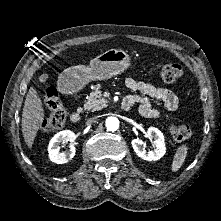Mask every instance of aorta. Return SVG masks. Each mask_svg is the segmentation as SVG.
Segmentation results:
<instances>
[{
	"mask_svg": "<svg viewBox=\"0 0 221 221\" xmlns=\"http://www.w3.org/2000/svg\"><path fill=\"white\" fill-rule=\"evenodd\" d=\"M105 125L108 131H116L119 128V120L117 117H108Z\"/></svg>",
	"mask_w": 221,
	"mask_h": 221,
	"instance_id": "762f6f07",
	"label": "aorta"
}]
</instances>
